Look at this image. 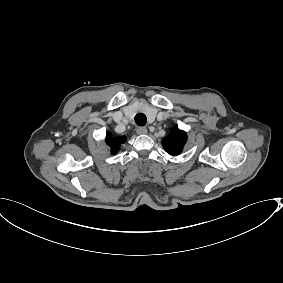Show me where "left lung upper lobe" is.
Returning <instances> with one entry per match:
<instances>
[{"mask_svg":"<svg viewBox=\"0 0 283 283\" xmlns=\"http://www.w3.org/2000/svg\"><path fill=\"white\" fill-rule=\"evenodd\" d=\"M186 141V133L177 127H174L170 131V134L163 139L162 145L168 154L176 156L182 152Z\"/></svg>","mask_w":283,"mask_h":283,"instance_id":"1","label":"left lung upper lobe"}]
</instances>
